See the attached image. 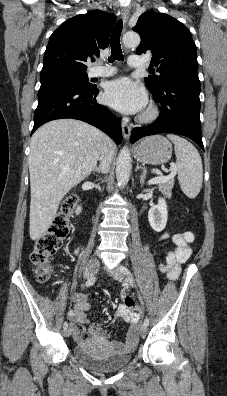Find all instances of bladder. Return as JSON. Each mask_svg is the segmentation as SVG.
Returning a JSON list of instances; mask_svg holds the SVG:
<instances>
[{
    "instance_id": "obj_1",
    "label": "bladder",
    "mask_w": 227,
    "mask_h": 396,
    "mask_svg": "<svg viewBox=\"0 0 227 396\" xmlns=\"http://www.w3.org/2000/svg\"><path fill=\"white\" fill-rule=\"evenodd\" d=\"M74 358L94 372H112L121 369L132 359L131 352L103 353L93 342H85L73 348Z\"/></svg>"
}]
</instances>
